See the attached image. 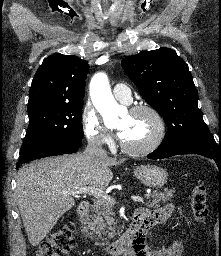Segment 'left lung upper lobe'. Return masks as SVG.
I'll return each mask as SVG.
<instances>
[{
  "mask_svg": "<svg viewBox=\"0 0 221 256\" xmlns=\"http://www.w3.org/2000/svg\"><path fill=\"white\" fill-rule=\"evenodd\" d=\"M122 67L145 101L164 118L163 143L210 133L198 108V92L184 60L170 48L125 57Z\"/></svg>",
  "mask_w": 221,
  "mask_h": 256,
  "instance_id": "1",
  "label": "left lung upper lobe"
}]
</instances>
